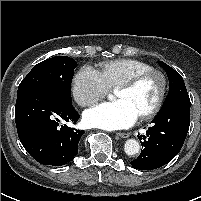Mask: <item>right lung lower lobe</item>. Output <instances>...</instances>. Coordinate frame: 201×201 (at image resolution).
Listing matches in <instances>:
<instances>
[{
    "mask_svg": "<svg viewBox=\"0 0 201 201\" xmlns=\"http://www.w3.org/2000/svg\"><path fill=\"white\" fill-rule=\"evenodd\" d=\"M79 117L72 103L51 89L32 87L17 95L15 122L19 139L41 164L65 165L78 154L84 132L61 123H75Z\"/></svg>",
    "mask_w": 201,
    "mask_h": 201,
    "instance_id": "obj_1",
    "label": "right lung lower lobe"
}]
</instances>
